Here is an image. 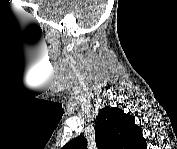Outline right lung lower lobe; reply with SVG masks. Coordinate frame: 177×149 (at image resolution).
I'll list each match as a JSON object with an SVG mask.
<instances>
[{
	"instance_id": "obj_1",
	"label": "right lung lower lobe",
	"mask_w": 177,
	"mask_h": 149,
	"mask_svg": "<svg viewBox=\"0 0 177 149\" xmlns=\"http://www.w3.org/2000/svg\"><path fill=\"white\" fill-rule=\"evenodd\" d=\"M146 147H147V145H146V144H144V145H142V146H141V148H146Z\"/></svg>"
}]
</instances>
